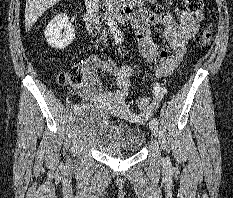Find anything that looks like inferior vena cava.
<instances>
[{
    "label": "inferior vena cava",
    "mask_w": 233,
    "mask_h": 198,
    "mask_svg": "<svg viewBox=\"0 0 233 198\" xmlns=\"http://www.w3.org/2000/svg\"><path fill=\"white\" fill-rule=\"evenodd\" d=\"M98 2H99V0H85L86 6H87V13L90 15V17L95 22L96 30L98 32H100L101 26H98V25H100L99 24L100 17L98 16V10H99ZM103 33H104V31H103ZM102 37L104 38V35Z\"/></svg>",
    "instance_id": "1"
}]
</instances>
